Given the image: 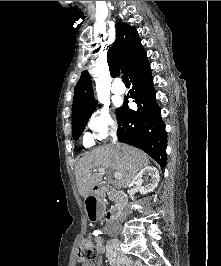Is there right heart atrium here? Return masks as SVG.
<instances>
[{
    "instance_id": "d8ad5b80",
    "label": "right heart atrium",
    "mask_w": 221,
    "mask_h": 266,
    "mask_svg": "<svg viewBox=\"0 0 221 266\" xmlns=\"http://www.w3.org/2000/svg\"><path fill=\"white\" fill-rule=\"evenodd\" d=\"M88 127L91 131L90 138L105 140L117 131V124L107 107L101 106L94 110L88 119Z\"/></svg>"
}]
</instances>
